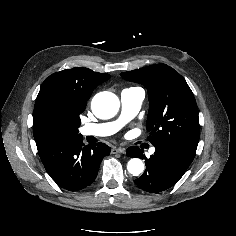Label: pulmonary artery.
<instances>
[{"instance_id":"1","label":"pulmonary artery","mask_w":236,"mask_h":236,"mask_svg":"<svg viewBox=\"0 0 236 236\" xmlns=\"http://www.w3.org/2000/svg\"><path fill=\"white\" fill-rule=\"evenodd\" d=\"M145 97V92L139 87L124 89L121 92V115L113 122L86 124L80 128V133L83 136L103 137L109 136L121 129V127L130 121L139 112L142 102ZM155 148L150 149V153H154Z\"/></svg>"}]
</instances>
